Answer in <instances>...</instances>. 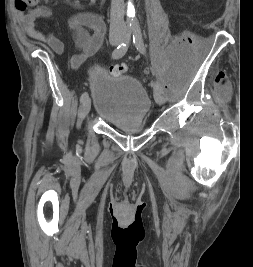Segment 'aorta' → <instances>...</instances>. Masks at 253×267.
Wrapping results in <instances>:
<instances>
[{
	"label": "aorta",
	"instance_id": "obj_1",
	"mask_svg": "<svg viewBox=\"0 0 253 267\" xmlns=\"http://www.w3.org/2000/svg\"><path fill=\"white\" fill-rule=\"evenodd\" d=\"M127 24L128 28H138L137 20L134 16V12L132 10V6H130V2L128 4V14H127Z\"/></svg>",
	"mask_w": 253,
	"mask_h": 267
}]
</instances>
